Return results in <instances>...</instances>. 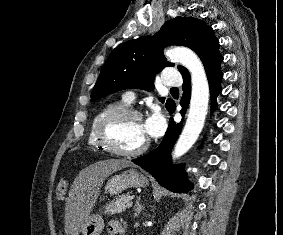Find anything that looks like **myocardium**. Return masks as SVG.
<instances>
[{"mask_svg":"<svg viewBox=\"0 0 283 235\" xmlns=\"http://www.w3.org/2000/svg\"><path fill=\"white\" fill-rule=\"evenodd\" d=\"M129 117H135L142 120L140 111L130 107L116 109L101 119L96 129V137L104 150L116 156L135 157L143 154L148 149L150 144L149 139L135 150H121L112 143L109 137L111 127L118 121Z\"/></svg>","mask_w":283,"mask_h":235,"instance_id":"1","label":"myocardium"}]
</instances>
